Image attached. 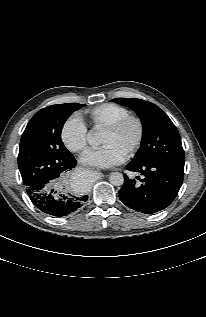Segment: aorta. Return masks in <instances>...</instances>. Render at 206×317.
Returning a JSON list of instances; mask_svg holds the SVG:
<instances>
[{"mask_svg": "<svg viewBox=\"0 0 206 317\" xmlns=\"http://www.w3.org/2000/svg\"><path fill=\"white\" fill-rule=\"evenodd\" d=\"M87 140L89 142V144H96L98 139L97 137L95 136L94 133L90 132L88 133L87 135ZM109 181L111 182V184H113L114 186H120V185H123L124 183V177H123V174L122 173H119V172H114V173H111L110 177H109Z\"/></svg>", "mask_w": 206, "mask_h": 317, "instance_id": "1", "label": "aorta"}]
</instances>
